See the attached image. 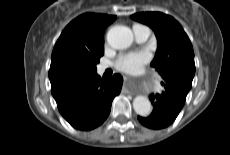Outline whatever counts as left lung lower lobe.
<instances>
[{
	"label": "left lung lower lobe",
	"instance_id": "obj_1",
	"mask_svg": "<svg viewBox=\"0 0 230 155\" xmlns=\"http://www.w3.org/2000/svg\"><path fill=\"white\" fill-rule=\"evenodd\" d=\"M164 87L162 93L151 94L150 100L153 104V112L149 117L138 116L139 122L151 129H162L174 122L190 90L184 83L176 80H165L161 82Z\"/></svg>",
	"mask_w": 230,
	"mask_h": 155
}]
</instances>
